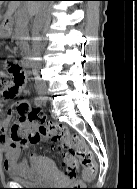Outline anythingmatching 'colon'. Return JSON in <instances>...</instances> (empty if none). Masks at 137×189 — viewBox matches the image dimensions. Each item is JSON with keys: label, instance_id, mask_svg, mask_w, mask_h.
<instances>
[{"label": "colon", "instance_id": "1", "mask_svg": "<svg viewBox=\"0 0 137 189\" xmlns=\"http://www.w3.org/2000/svg\"><path fill=\"white\" fill-rule=\"evenodd\" d=\"M24 78L25 74L22 68L13 62H9L5 70L0 69V97L4 99L15 97ZM22 110L30 125L24 127L18 122L14 123L11 134L15 140L29 144H38L42 140L49 141L55 150L63 154L62 167L68 178L77 176L79 164L84 168L86 179H92L96 176L97 165L93 154L81 136L71 135L68 128L62 124L46 122L40 108L26 106Z\"/></svg>", "mask_w": 137, "mask_h": 189}]
</instances>
